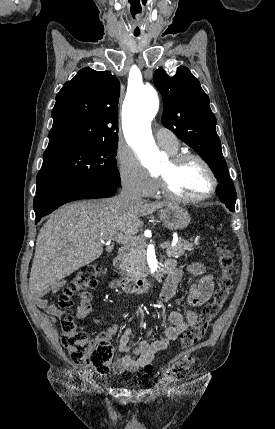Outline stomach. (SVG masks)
I'll list each match as a JSON object with an SVG mask.
<instances>
[{"label": "stomach", "mask_w": 275, "mask_h": 429, "mask_svg": "<svg viewBox=\"0 0 275 429\" xmlns=\"http://www.w3.org/2000/svg\"><path fill=\"white\" fill-rule=\"evenodd\" d=\"M159 217L167 228L181 230L190 223V215L183 207L173 204L159 211Z\"/></svg>", "instance_id": "stomach-1"}]
</instances>
